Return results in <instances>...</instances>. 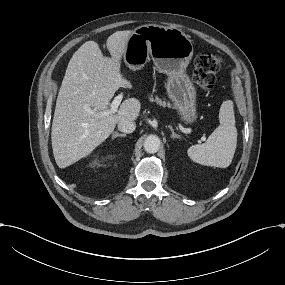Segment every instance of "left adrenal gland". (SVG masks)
Listing matches in <instances>:
<instances>
[{"label":"left adrenal gland","instance_id":"obj_1","mask_svg":"<svg viewBox=\"0 0 285 285\" xmlns=\"http://www.w3.org/2000/svg\"><path fill=\"white\" fill-rule=\"evenodd\" d=\"M168 127H169V129L171 130V132H172L171 138H172L173 140L178 139V140L181 141V137H180L179 135H177V134L174 132V129L172 128V126H168Z\"/></svg>","mask_w":285,"mask_h":285}]
</instances>
